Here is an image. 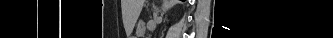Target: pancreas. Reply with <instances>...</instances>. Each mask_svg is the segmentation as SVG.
I'll list each match as a JSON object with an SVG mask.
<instances>
[{"label": "pancreas", "mask_w": 333, "mask_h": 38, "mask_svg": "<svg viewBox=\"0 0 333 38\" xmlns=\"http://www.w3.org/2000/svg\"><path fill=\"white\" fill-rule=\"evenodd\" d=\"M139 32H140V35L142 36L143 33H144V26L143 25L139 26Z\"/></svg>", "instance_id": "cf45deb5"}]
</instances>
